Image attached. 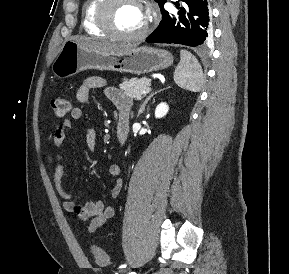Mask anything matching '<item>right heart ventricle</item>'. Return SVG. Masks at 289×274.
<instances>
[{
    "mask_svg": "<svg viewBox=\"0 0 289 274\" xmlns=\"http://www.w3.org/2000/svg\"><path fill=\"white\" fill-rule=\"evenodd\" d=\"M100 2L101 0H86L82 11V25L88 34L104 37L106 33L98 27L95 18Z\"/></svg>",
    "mask_w": 289,
    "mask_h": 274,
    "instance_id": "right-heart-ventricle-1",
    "label": "right heart ventricle"
}]
</instances>
